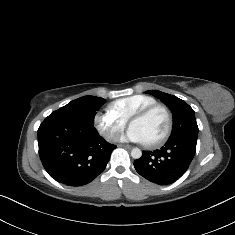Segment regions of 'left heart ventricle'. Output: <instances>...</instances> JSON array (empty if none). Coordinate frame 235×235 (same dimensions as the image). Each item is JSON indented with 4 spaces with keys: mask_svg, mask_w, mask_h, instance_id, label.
Instances as JSON below:
<instances>
[{
    "mask_svg": "<svg viewBox=\"0 0 235 235\" xmlns=\"http://www.w3.org/2000/svg\"><path fill=\"white\" fill-rule=\"evenodd\" d=\"M131 126L137 128L142 133L145 143H149L165 132L167 117L163 111L158 110L146 118L134 120Z\"/></svg>",
    "mask_w": 235,
    "mask_h": 235,
    "instance_id": "obj_1",
    "label": "left heart ventricle"
}]
</instances>
